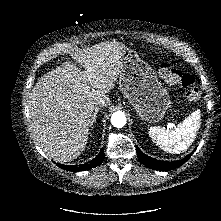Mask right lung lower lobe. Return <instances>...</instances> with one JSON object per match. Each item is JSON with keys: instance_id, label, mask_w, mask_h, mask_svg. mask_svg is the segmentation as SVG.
<instances>
[{"instance_id": "right-lung-lower-lobe-1", "label": "right lung lower lobe", "mask_w": 221, "mask_h": 221, "mask_svg": "<svg viewBox=\"0 0 221 221\" xmlns=\"http://www.w3.org/2000/svg\"><path fill=\"white\" fill-rule=\"evenodd\" d=\"M103 158H104V150L101 149L100 153L94 159L89 161V163L81 164L79 166H77V165L68 166V165H62V164H58V163H57V165L64 170L78 172V171H84V170H88V169L98 166L99 164L102 163Z\"/></svg>"}]
</instances>
